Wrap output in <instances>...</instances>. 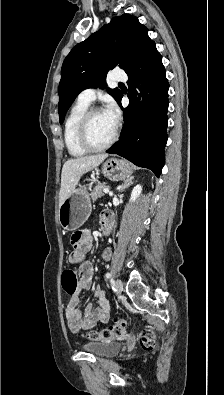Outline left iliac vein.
Here are the masks:
<instances>
[{
  "label": "left iliac vein",
  "mask_w": 224,
  "mask_h": 395,
  "mask_svg": "<svg viewBox=\"0 0 224 395\" xmlns=\"http://www.w3.org/2000/svg\"><path fill=\"white\" fill-rule=\"evenodd\" d=\"M114 287L117 290V293H121L123 291V283L121 280L117 279L114 282Z\"/></svg>",
  "instance_id": "4c4485c4"
}]
</instances>
